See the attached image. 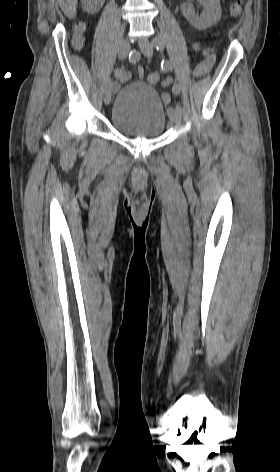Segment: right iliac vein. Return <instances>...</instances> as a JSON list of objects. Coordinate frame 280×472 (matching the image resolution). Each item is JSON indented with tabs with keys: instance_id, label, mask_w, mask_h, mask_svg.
I'll use <instances>...</instances> for the list:
<instances>
[{
	"instance_id": "right-iliac-vein-1",
	"label": "right iliac vein",
	"mask_w": 280,
	"mask_h": 472,
	"mask_svg": "<svg viewBox=\"0 0 280 472\" xmlns=\"http://www.w3.org/2000/svg\"><path fill=\"white\" fill-rule=\"evenodd\" d=\"M130 52V43L128 40L124 39L120 43L119 47V58L124 59ZM112 93H113V82L111 79H109L106 82L105 88H104V102L106 105H108L111 101L112 98Z\"/></svg>"
}]
</instances>
